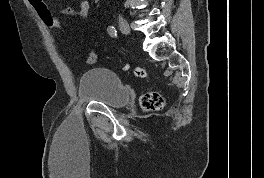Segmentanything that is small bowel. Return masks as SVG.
<instances>
[{
  "mask_svg": "<svg viewBox=\"0 0 264 178\" xmlns=\"http://www.w3.org/2000/svg\"><path fill=\"white\" fill-rule=\"evenodd\" d=\"M90 3L88 0H82L78 7H68L62 10V14L67 16H78L82 19L88 17Z\"/></svg>",
  "mask_w": 264,
  "mask_h": 178,
  "instance_id": "c3829d8e",
  "label": "small bowel"
}]
</instances>
